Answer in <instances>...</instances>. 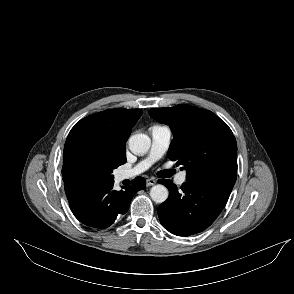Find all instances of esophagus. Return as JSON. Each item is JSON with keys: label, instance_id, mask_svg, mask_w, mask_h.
I'll return each mask as SVG.
<instances>
[{"label": "esophagus", "instance_id": "esophagus-1", "mask_svg": "<svg viewBox=\"0 0 294 294\" xmlns=\"http://www.w3.org/2000/svg\"><path fill=\"white\" fill-rule=\"evenodd\" d=\"M155 184H156V180H155L154 178H148V179L146 180V185H147L148 187L153 186V185H155Z\"/></svg>", "mask_w": 294, "mask_h": 294}]
</instances>
